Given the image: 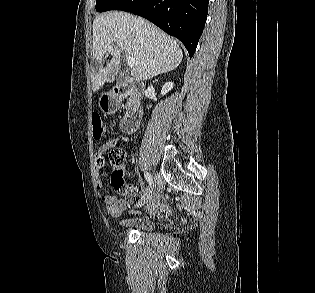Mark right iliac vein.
Wrapping results in <instances>:
<instances>
[{
	"label": "right iliac vein",
	"instance_id": "obj_1",
	"mask_svg": "<svg viewBox=\"0 0 315 293\" xmlns=\"http://www.w3.org/2000/svg\"><path fill=\"white\" fill-rule=\"evenodd\" d=\"M154 189H155V185H154V182H152L150 187H149V190L139 200L137 207H142L151 200V198L154 194Z\"/></svg>",
	"mask_w": 315,
	"mask_h": 293
}]
</instances>
